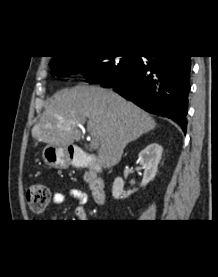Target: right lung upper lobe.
Listing matches in <instances>:
<instances>
[{"label": "right lung upper lobe", "mask_w": 218, "mask_h": 277, "mask_svg": "<svg viewBox=\"0 0 218 277\" xmlns=\"http://www.w3.org/2000/svg\"><path fill=\"white\" fill-rule=\"evenodd\" d=\"M56 57H60V56H54L52 59L56 58Z\"/></svg>", "instance_id": "1"}]
</instances>
